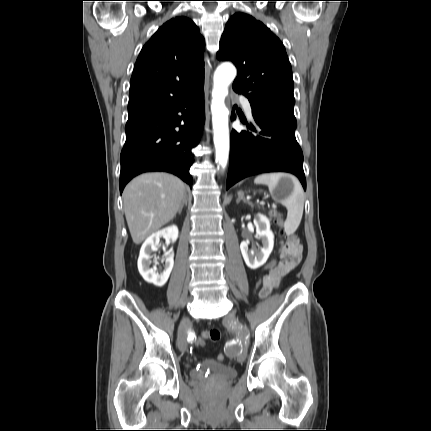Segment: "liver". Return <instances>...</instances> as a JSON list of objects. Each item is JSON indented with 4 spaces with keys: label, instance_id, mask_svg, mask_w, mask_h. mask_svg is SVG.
<instances>
[{
    "label": "liver",
    "instance_id": "1",
    "mask_svg": "<svg viewBox=\"0 0 431 431\" xmlns=\"http://www.w3.org/2000/svg\"><path fill=\"white\" fill-rule=\"evenodd\" d=\"M184 194V183L167 173H145L134 178L123 191L124 212L133 242L142 243L170 222Z\"/></svg>",
    "mask_w": 431,
    "mask_h": 431
}]
</instances>
